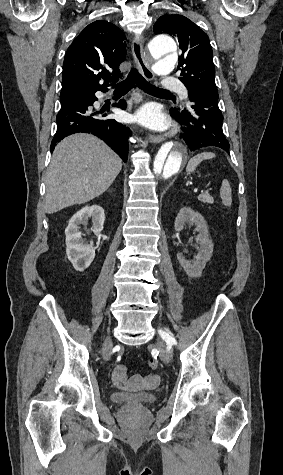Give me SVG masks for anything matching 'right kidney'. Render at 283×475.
<instances>
[{
	"instance_id": "right-kidney-1",
	"label": "right kidney",
	"mask_w": 283,
	"mask_h": 475,
	"mask_svg": "<svg viewBox=\"0 0 283 475\" xmlns=\"http://www.w3.org/2000/svg\"><path fill=\"white\" fill-rule=\"evenodd\" d=\"M89 218H92V232H102L105 214L101 206H85V208H82V210H79V212L72 216L65 230L67 257L77 271H84L95 257L93 241L85 243L79 230L80 224H85Z\"/></svg>"
}]
</instances>
